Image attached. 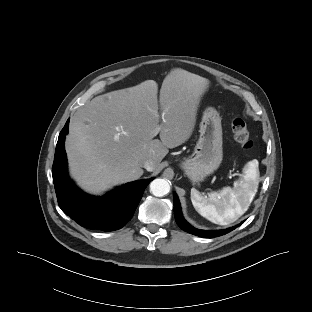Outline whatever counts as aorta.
<instances>
[{"instance_id": "aorta-1", "label": "aorta", "mask_w": 312, "mask_h": 312, "mask_svg": "<svg viewBox=\"0 0 312 312\" xmlns=\"http://www.w3.org/2000/svg\"><path fill=\"white\" fill-rule=\"evenodd\" d=\"M169 191L170 185L165 179H155L150 183V192L156 197H162Z\"/></svg>"}]
</instances>
